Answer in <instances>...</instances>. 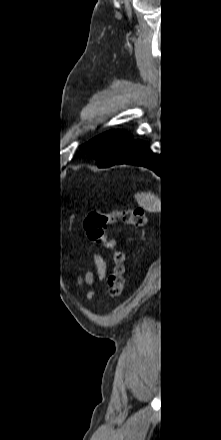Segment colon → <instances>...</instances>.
I'll list each match as a JSON object with an SVG mask.
<instances>
[{"instance_id":"1","label":"colon","mask_w":221,"mask_h":440,"mask_svg":"<svg viewBox=\"0 0 221 440\" xmlns=\"http://www.w3.org/2000/svg\"><path fill=\"white\" fill-rule=\"evenodd\" d=\"M118 220L134 227H142L144 213L142 210L128 209L116 213L88 214L83 222L89 239L112 251L114 265L108 279V286L109 294L113 298L120 296L124 289L126 255L118 248L117 241L106 234L105 228L109 223Z\"/></svg>"}]
</instances>
